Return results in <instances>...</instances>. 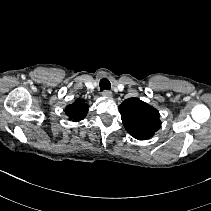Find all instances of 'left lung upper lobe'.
<instances>
[{
	"mask_svg": "<svg viewBox=\"0 0 211 211\" xmlns=\"http://www.w3.org/2000/svg\"><path fill=\"white\" fill-rule=\"evenodd\" d=\"M127 132L138 140L151 138L160 128L159 112L138 98H129L119 106Z\"/></svg>",
	"mask_w": 211,
	"mask_h": 211,
	"instance_id": "obj_1",
	"label": "left lung upper lobe"
}]
</instances>
